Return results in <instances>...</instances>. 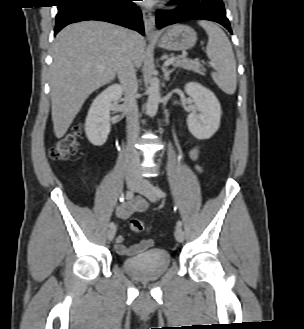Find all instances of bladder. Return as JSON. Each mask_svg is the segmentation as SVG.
<instances>
[{
	"mask_svg": "<svg viewBox=\"0 0 304 329\" xmlns=\"http://www.w3.org/2000/svg\"><path fill=\"white\" fill-rule=\"evenodd\" d=\"M171 256L159 249H150L142 254L128 258L122 262L127 274L136 279H156L169 268Z\"/></svg>",
	"mask_w": 304,
	"mask_h": 329,
	"instance_id": "bladder-1",
	"label": "bladder"
}]
</instances>
